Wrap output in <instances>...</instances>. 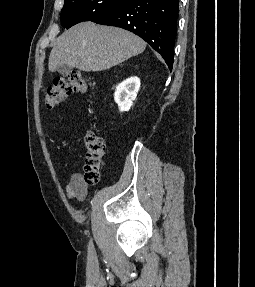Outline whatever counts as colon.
<instances>
[{"mask_svg":"<svg viewBox=\"0 0 255 287\" xmlns=\"http://www.w3.org/2000/svg\"><path fill=\"white\" fill-rule=\"evenodd\" d=\"M92 82L83 77L80 72L72 71L67 78H57L48 87L44 95V105L53 109L60 105L66 97L75 92H86ZM85 167L83 178L89 185H95L100 181V170L105 153L104 139L93 131L85 135Z\"/></svg>","mask_w":255,"mask_h":287,"instance_id":"1","label":"colon"}]
</instances>
